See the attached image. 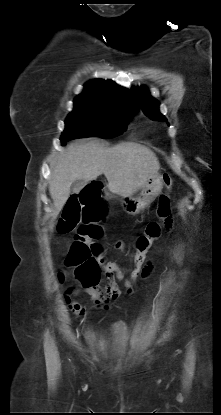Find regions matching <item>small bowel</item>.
<instances>
[{"instance_id":"small-bowel-1","label":"small bowel","mask_w":221,"mask_h":415,"mask_svg":"<svg viewBox=\"0 0 221 415\" xmlns=\"http://www.w3.org/2000/svg\"><path fill=\"white\" fill-rule=\"evenodd\" d=\"M166 228H169L171 225V220H169L168 222L163 224ZM113 248L115 249H119V250H125V244L122 241H117L113 244ZM102 265V264H101ZM153 269V265L150 261H148L146 263V269L144 271L141 272V274L139 276H141L142 278H146L149 276V274L151 273ZM119 271L124 270L122 269H118ZM109 284L108 287L105 290V294L102 293L99 289H97L95 286H86L84 287L82 290H75V291H69L68 294H78L80 291H83L87 294H89L92 298V300L95 303H100L104 300L108 301V300H115L117 299L120 294H121V290L118 286L117 283H112L110 281V279H108ZM128 282V278L127 281ZM135 288V285L133 286L132 290H126L127 293H131ZM69 304H70V308L73 311V313H75L78 316H82L85 313V309L83 308V306L78 303L77 301L71 300L70 298L68 299Z\"/></svg>"}]
</instances>
